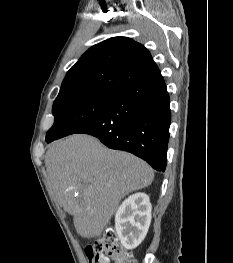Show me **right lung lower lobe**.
<instances>
[{"label":"right lung lower lobe","mask_w":233,"mask_h":263,"mask_svg":"<svg viewBox=\"0 0 233 263\" xmlns=\"http://www.w3.org/2000/svg\"><path fill=\"white\" fill-rule=\"evenodd\" d=\"M169 104L166 84L159 74L119 92L98 118L76 133L93 135L109 148L131 152L154 169L165 171Z\"/></svg>","instance_id":"right-lung-lower-lobe-1"}]
</instances>
